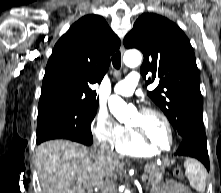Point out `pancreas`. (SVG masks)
<instances>
[{
	"label": "pancreas",
	"mask_w": 221,
	"mask_h": 193,
	"mask_svg": "<svg viewBox=\"0 0 221 193\" xmlns=\"http://www.w3.org/2000/svg\"><path fill=\"white\" fill-rule=\"evenodd\" d=\"M144 172L148 174V184L155 185L161 182L165 172L164 167H158L155 164L145 166Z\"/></svg>",
	"instance_id": "1"
}]
</instances>
